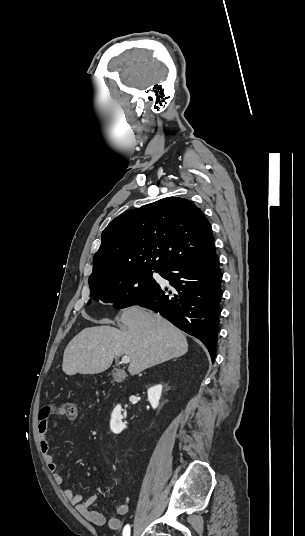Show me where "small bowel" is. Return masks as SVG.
<instances>
[{"label": "small bowel", "mask_w": 305, "mask_h": 536, "mask_svg": "<svg viewBox=\"0 0 305 536\" xmlns=\"http://www.w3.org/2000/svg\"><path fill=\"white\" fill-rule=\"evenodd\" d=\"M56 418H59L63 414L61 409L56 411ZM47 420L53 419L52 413L46 414ZM39 428L37 430L39 447L43 454L44 460L47 464L49 472L52 474L55 483L59 486L64 484V477L58 472V465L54 459V455L50 451V442H49V430L46 422L41 420L39 422ZM55 421H50V426H55ZM65 498L75 507L76 511L87 519L89 522L102 526L105 524L106 519L103 514L90 508V505L98 500V495H91L88 498H84L82 494L75 493L71 488L64 489ZM129 506L127 503H123L117 506L116 512L117 515H112L108 520V526L113 529H119L121 522L118 515H125L128 512Z\"/></svg>", "instance_id": "c3829d8e"}]
</instances>
